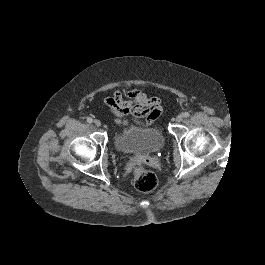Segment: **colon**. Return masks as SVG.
Masks as SVG:
<instances>
[{"label":"colon","instance_id":"5ec220e1","mask_svg":"<svg viewBox=\"0 0 265 265\" xmlns=\"http://www.w3.org/2000/svg\"><path fill=\"white\" fill-rule=\"evenodd\" d=\"M133 181L135 188L140 192H150L158 185L155 173L143 167H136L133 171Z\"/></svg>","mask_w":265,"mask_h":265}]
</instances>
